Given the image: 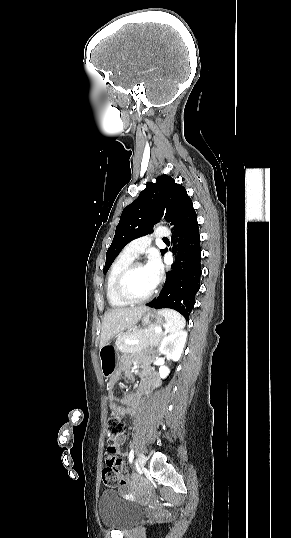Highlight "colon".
<instances>
[{"label": "colon", "mask_w": 291, "mask_h": 538, "mask_svg": "<svg viewBox=\"0 0 291 538\" xmlns=\"http://www.w3.org/2000/svg\"><path fill=\"white\" fill-rule=\"evenodd\" d=\"M124 432L121 415L113 411L107 423L106 467L102 480L106 486L125 485L129 479L124 475V464L117 458V440Z\"/></svg>", "instance_id": "obj_1"}]
</instances>
